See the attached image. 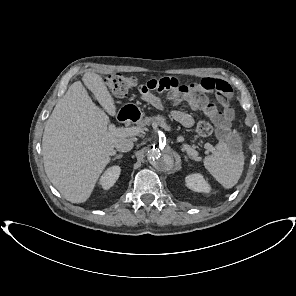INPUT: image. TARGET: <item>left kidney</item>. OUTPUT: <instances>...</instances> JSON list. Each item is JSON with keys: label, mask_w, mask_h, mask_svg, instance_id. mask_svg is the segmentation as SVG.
I'll use <instances>...</instances> for the list:
<instances>
[{"label": "left kidney", "mask_w": 296, "mask_h": 296, "mask_svg": "<svg viewBox=\"0 0 296 296\" xmlns=\"http://www.w3.org/2000/svg\"><path fill=\"white\" fill-rule=\"evenodd\" d=\"M185 182L186 186L193 191L204 193L210 192L211 188L201 174L189 175L186 177Z\"/></svg>", "instance_id": "left-kidney-1"}]
</instances>
